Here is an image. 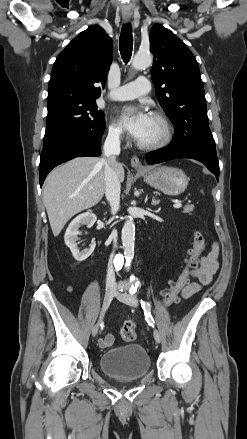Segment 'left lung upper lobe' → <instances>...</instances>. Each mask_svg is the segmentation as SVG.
I'll return each instance as SVG.
<instances>
[{"label":"left lung upper lobe","instance_id":"5c2ea615","mask_svg":"<svg viewBox=\"0 0 247 439\" xmlns=\"http://www.w3.org/2000/svg\"><path fill=\"white\" fill-rule=\"evenodd\" d=\"M152 80L161 107L174 125L173 142L219 166L208 124L203 82L197 61L172 31L156 24L150 31Z\"/></svg>","mask_w":247,"mask_h":439}]
</instances>
